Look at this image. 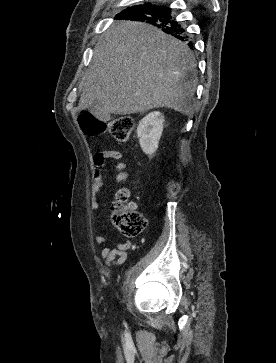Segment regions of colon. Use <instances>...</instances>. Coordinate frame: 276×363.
I'll return each instance as SVG.
<instances>
[{"instance_id": "colon-1", "label": "colon", "mask_w": 276, "mask_h": 363, "mask_svg": "<svg viewBox=\"0 0 276 363\" xmlns=\"http://www.w3.org/2000/svg\"><path fill=\"white\" fill-rule=\"evenodd\" d=\"M80 127L89 136H98L110 133L116 142L126 144L134 128V119L130 116H118L111 120L103 121L90 113H83L79 117ZM129 192L120 190L116 195V202L111 208V220L115 227L126 237L138 236L146 226L143 215L131 206L125 205Z\"/></svg>"}]
</instances>
